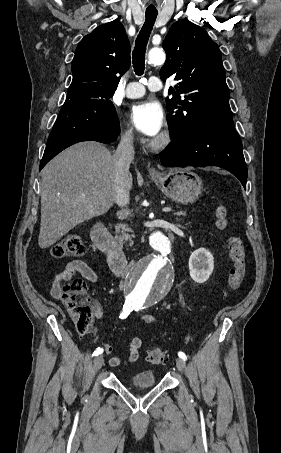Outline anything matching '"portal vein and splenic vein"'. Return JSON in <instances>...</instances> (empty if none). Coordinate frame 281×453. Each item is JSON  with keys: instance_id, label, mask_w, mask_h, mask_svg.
<instances>
[{"instance_id": "1", "label": "portal vein and splenic vein", "mask_w": 281, "mask_h": 453, "mask_svg": "<svg viewBox=\"0 0 281 453\" xmlns=\"http://www.w3.org/2000/svg\"><path fill=\"white\" fill-rule=\"evenodd\" d=\"M162 211H163V212H164V211H165V212H173V211H174V208H173V207H167V208H166V207H163V210H162Z\"/></svg>"}]
</instances>
